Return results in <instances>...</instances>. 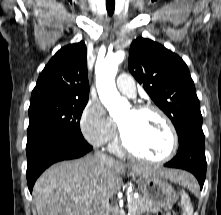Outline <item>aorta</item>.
<instances>
[{"label":"aorta","instance_id":"1","mask_svg":"<svg viewBox=\"0 0 221 215\" xmlns=\"http://www.w3.org/2000/svg\"><path fill=\"white\" fill-rule=\"evenodd\" d=\"M124 58L125 52L120 50L108 54L103 60L97 61L95 66L98 95L111 116H114L121 106L128 107L127 100L121 97L117 91L114 80L118 66Z\"/></svg>","mask_w":221,"mask_h":215}]
</instances>
